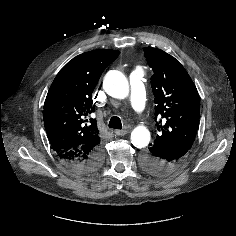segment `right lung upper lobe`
Wrapping results in <instances>:
<instances>
[{"label":"right lung upper lobe","mask_w":236,"mask_h":236,"mask_svg":"<svg viewBox=\"0 0 236 236\" xmlns=\"http://www.w3.org/2000/svg\"><path fill=\"white\" fill-rule=\"evenodd\" d=\"M117 50H93L76 56L56 75L46 96L44 126L61 160H86L101 147L92 93Z\"/></svg>","instance_id":"obj_1"}]
</instances>
